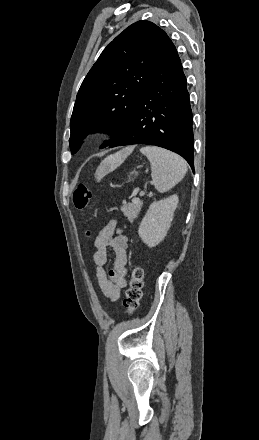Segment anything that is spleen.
Instances as JSON below:
<instances>
[{
  "label": "spleen",
  "mask_w": 259,
  "mask_h": 440,
  "mask_svg": "<svg viewBox=\"0 0 259 440\" xmlns=\"http://www.w3.org/2000/svg\"><path fill=\"white\" fill-rule=\"evenodd\" d=\"M140 152L150 161L151 176L160 193L169 191L184 178L187 164L179 155L155 146L142 147Z\"/></svg>",
  "instance_id": "obj_1"
}]
</instances>
